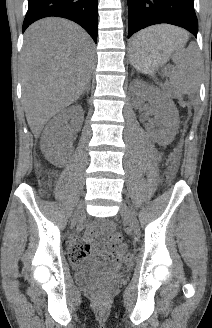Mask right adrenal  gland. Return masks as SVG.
<instances>
[{
  "label": "right adrenal gland",
  "instance_id": "obj_1",
  "mask_svg": "<svg viewBox=\"0 0 212 328\" xmlns=\"http://www.w3.org/2000/svg\"><path fill=\"white\" fill-rule=\"evenodd\" d=\"M89 91H90V83H88V85H87L86 89L84 90L83 94H85V93L88 94Z\"/></svg>",
  "mask_w": 212,
  "mask_h": 328
}]
</instances>
